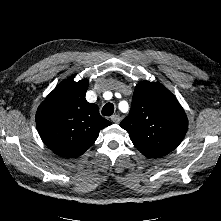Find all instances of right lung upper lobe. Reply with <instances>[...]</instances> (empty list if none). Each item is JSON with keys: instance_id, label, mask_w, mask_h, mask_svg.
Wrapping results in <instances>:
<instances>
[{"instance_id": "cb5924a9", "label": "right lung upper lobe", "mask_w": 221, "mask_h": 221, "mask_svg": "<svg viewBox=\"0 0 221 221\" xmlns=\"http://www.w3.org/2000/svg\"><path fill=\"white\" fill-rule=\"evenodd\" d=\"M89 81L59 84L40 104L36 125L41 139L55 154L82 155L111 122L102 118L96 104L85 99Z\"/></svg>"}]
</instances>
